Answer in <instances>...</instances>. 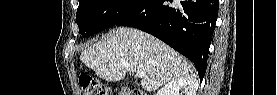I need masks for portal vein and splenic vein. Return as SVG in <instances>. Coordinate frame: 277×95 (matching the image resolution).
I'll return each instance as SVG.
<instances>
[{"label": "portal vein and splenic vein", "mask_w": 277, "mask_h": 95, "mask_svg": "<svg viewBox=\"0 0 277 95\" xmlns=\"http://www.w3.org/2000/svg\"><path fill=\"white\" fill-rule=\"evenodd\" d=\"M136 76L139 77V78H141V77L144 76V74H143L142 72H140V71H137V72H136Z\"/></svg>", "instance_id": "1"}]
</instances>
